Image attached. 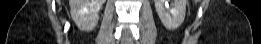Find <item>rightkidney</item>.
<instances>
[{
    "mask_svg": "<svg viewBox=\"0 0 261 44\" xmlns=\"http://www.w3.org/2000/svg\"><path fill=\"white\" fill-rule=\"evenodd\" d=\"M72 19L82 31L94 29L98 23V11L102 0H69Z\"/></svg>",
    "mask_w": 261,
    "mask_h": 44,
    "instance_id": "obj_1",
    "label": "right kidney"
}]
</instances>
